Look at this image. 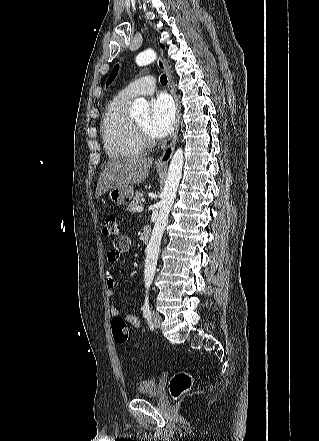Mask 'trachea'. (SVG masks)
<instances>
[{"label": "trachea", "mask_w": 319, "mask_h": 441, "mask_svg": "<svg viewBox=\"0 0 319 441\" xmlns=\"http://www.w3.org/2000/svg\"><path fill=\"white\" fill-rule=\"evenodd\" d=\"M160 82H161V84H163V85H166V84H167V76H166V74H163V75L160 77Z\"/></svg>", "instance_id": "obj_1"}]
</instances>
